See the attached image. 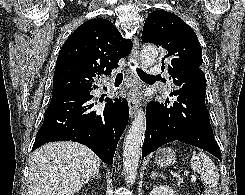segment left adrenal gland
Here are the masks:
<instances>
[{
	"instance_id": "left-adrenal-gland-1",
	"label": "left adrenal gland",
	"mask_w": 245,
	"mask_h": 195,
	"mask_svg": "<svg viewBox=\"0 0 245 195\" xmlns=\"http://www.w3.org/2000/svg\"><path fill=\"white\" fill-rule=\"evenodd\" d=\"M158 176L162 177V175L158 174L157 172H152V174L150 175L151 179H156Z\"/></svg>"
}]
</instances>
